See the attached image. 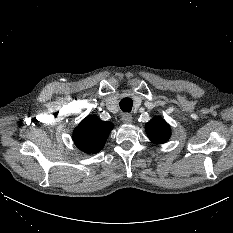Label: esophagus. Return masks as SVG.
I'll list each match as a JSON object with an SVG mask.
<instances>
[{"mask_svg":"<svg viewBox=\"0 0 233 233\" xmlns=\"http://www.w3.org/2000/svg\"><path fill=\"white\" fill-rule=\"evenodd\" d=\"M132 121H133V117H132L131 114H129V113L123 114V116H122V122L124 124H130V123H132Z\"/></svg>","mask_w":233,"mask_h":233,"instance_id":"34e87169","label":"esophagus"}]
</instances>
